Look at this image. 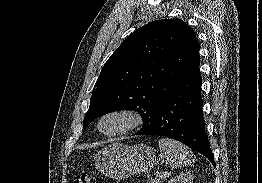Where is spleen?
Wrapping results in <instances>:
<instances>
[{
    "mask_svg": "<svg viewBox=\"0 0 262 183\" xmlns=\"http://www.w3.org/2000/svg\"><path fill=\"white\" fill-rule=\"evenodd\" d=\"M160 156L171 168L189 166L194 162L193 152L176 140L162 138L159 140Z\"/></svg>",
    "mask_w": 262,
    "mask_h": 183,
    "instance_id": "spleen-1",
    "label": "spleen"
}]
</instances>
